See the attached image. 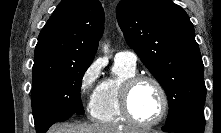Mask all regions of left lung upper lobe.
Wrapping results in <instances>:
<instances>
[{"instance_id":"5c2ea615","label":"left lung upper lobe","mask_w":221,"mask_h":133,"mask_svg":"<svg viewBox=\"0 0 221 133\" xmlns=\"http://www.w3.org/2000/svg\"><path fill=\"white\" fill-rule=\"evenodd\" d=\"M116 14L127 44L166 92V123L191 107L204 105L202 57L183 8L172 0H122Z\"/></svg>"}]
</instances>
